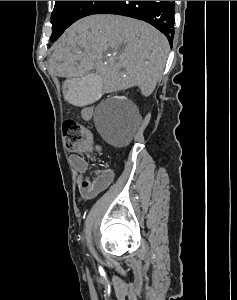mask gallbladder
I'll return each instance as SVG.
<instances>
[{
	"label": "gallbladder",
	"instance_id": "obj_1",
	"mask_svg": "<svg viewBox=\"0 0 237 300\" xmlns=\"http://www.w3.org/2000/svg\"><path fill=\"white\" fill-rule=\"evenodd\" d=\"M65 83L64 99L68 105H94L100 94L105 93L103 76L99 72H88V76H69Z\"/></svg>",
	"mask_w": 237,
	"mask_h": 300
}]
</instances>
